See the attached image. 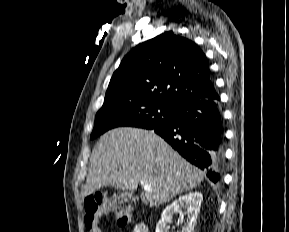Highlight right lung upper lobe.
Segmentation results:
<instances>
[{
  "instance_id": "1",
  "label": "right lung upper lobe",
  "mask_w": 289,
  "mask_h": 232,
  "mask_svg": "<svg viewBox=\"0 0 289 232\" xmlns=\"http://www.w3.org/2000/svg\"><path fill=\"white\" fill-rule=\"evenodd\" d=\"M128 96L178 108L218 94L205 54L191 40L169 31L137 45L113 73L105 99Z\"/></svg>"
}]
</instances>
